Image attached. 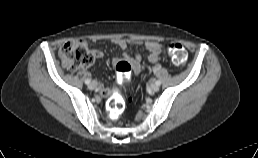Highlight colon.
<instances>
[{"mask_svg": "<svg viewBox=\"0 0 258 158\" xmlns=\"http://www.w3.org/2000/svg\"><path fill=\"white\" fill-rule=\"evenodd\" d=\"M167 52L176 66H183L187 60V51L183 44L179 42H169L167 44ZM59 56L63 66L68 70H76L80 67L90 66L95 62L96 56L87 48V45L82 40H70L60 48ZM116 83L123 85L130 78L132 68L125 60H120L115 65ZM124 100L122 96L115 92L109 99L107 109L110 117L117 118L124 110Z\"/></svg>", "mask_w": 258, "mask_h": 158, "instance_id": "1", "label": "colon"}]
</instances>
